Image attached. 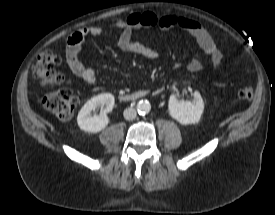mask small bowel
<instances>
[{
  "label": "small bowel",
  "mask_w": 275,
  "mask_h": 215,
  "mask_svg": "<svg viewBox=\"0 0 275 215\" xmlns=\"http://www.w3.org/2000/svg\"><path fill=\"white\" fill-rule=\"evenodd\" d=\"M158 27L162 30L179 28L186 31L197 42L198 46L210 56L213 66L219 71L226 69L224 55L216 46L209 32L198 22L176 14H158L154 11L138 12L129 15L125 20H118L108 26H93L81 28L73 32L67 40L66 63L71 71L88 84H94L97 74L94 69L87 67L79 58V52L84 39L88 36H99L106 29L121 31L118 47L127 52L134 53L149 60L159 59V53L132 39L133 32L138 29ZM177 67V64H174ZM191 72H197L202 68L199 58H193L187 65Z\"/></svg>",
  "instance_id": "1"
}]
</instances>
